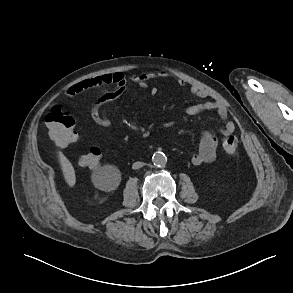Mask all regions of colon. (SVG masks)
I'll use <instances>...</instances> for the list:
<instances>
[{"label": "colon", "instance_id": "colon-1", "mask_svg": "<svg viewBox=\"0 0 293 293\" xmlns=\"http://www.w3.org/2000/svg\"><path fill=\"white\" fill-rule=\"evenodd\" d=\"M45 124L49 135L58 146H66L77 139L75 132V120L66 111L58 106L51 108L45 118ZM224 151L232 157L237 155L238 140L234 135H227L223 139ZM101 150L91 148L79 159V164L90 169L97 168L101 160Z\"/></svg>", "mask_w": 293, "mask_h": 293}]
</instances>
